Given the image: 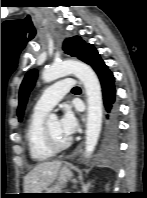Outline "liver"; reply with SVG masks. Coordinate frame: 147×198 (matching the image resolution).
<instances>
[{"label": "liver", "instance_id": "6515ba94", "mask_svg": "<svg viewBox=\"0 0 147 198\" xmlns=\"http://www.w3.org/2000/svg\"><path fill=\"white\" fill-rule=\"evenodd\" d=\"M61 165V161L37 164L24 177V193H41L45 191L57 179Z\"/></svg>", "mask_w": 147, "mask_h": 198}]
</instances>
